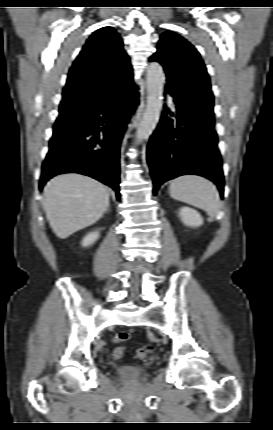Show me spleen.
<instances>
[{
    "label": "spleen",
    "instance_id": "1",
    "mask_svg": "<svg viewBox=\"0 0 273 430\" xmlns=\"http://www.w3.org/2000/svg\"><path fill=\"white\" fill-rule=\"evenodd\" d=\"M170 196L178 201L205 210L210 216L220 211V198L215 185L198 175H182L169 186Z\"/></svg>",
    "mask_w": 273,
    "mask_h": 430
}]
</instances>
